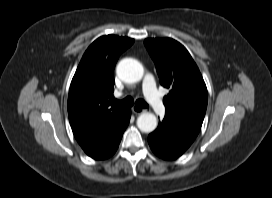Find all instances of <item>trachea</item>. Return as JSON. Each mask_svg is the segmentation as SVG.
I'll use <instances>...</instances> for the list:
<instances>
[{
	"mask_svg": "<svg viewBox=\"0 0 272 198\" xmlns=\"http://www.w3.org/2000/svg\"><path fill=\"white\" fill-rule=\"evenodd\" d=\"M119 103L124 106L131 107L134 104V100L132 97L128 96L125 99L119 101ZM135 105L140 108H147L149 106L143 99L136 100Z\"/></svg>",
	"mask_w": 272,
	"mask_h": 198,
	"instance_id": "1",
	"label": "trachea"
}]
</instances>
